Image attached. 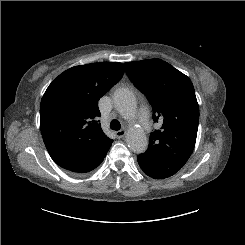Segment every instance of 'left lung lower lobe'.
<instances>
[{
  "mask_svg": "<svg viewBox=\"0 0 245 245\" xmlns=\"http://www.w3.org/2000/svg\"><path fill=\"white\" fill-rule=\"evenodd\" d=\"M138 164L145 174L156 179L170 177L182 168L165 157L149 153L138 155Z\"/></svg>",
  "mask_w": 245,
  "mask_h": 245,
  "instance_id": "left-lung-lower-lobe-1",
  "label": "left lung lower lobe"
}]
</instances>
